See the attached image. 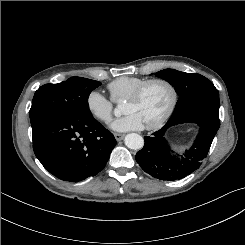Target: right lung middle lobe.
I'll return each instance as SVG.
<instances>
[{
  "mask_svg": "<svg viewBox=\"0 0 245 245\" xmlns=\"http://www.w3.org/2000/svg\"><path fill=\"white\" fill-rule=\"evenodd\" d=\"M100 85L95 80L71 77L58 84L41 86L33 97L30 121L48 114L69 120L93 117L88 107V97Z\"/></svg>",
  "mask_w": 245,
  "mask_h": 245,
  "instance_id": "right-lung-middle-lobe-1",
  "label": "right lung middle lobe"
}]
</instances>
